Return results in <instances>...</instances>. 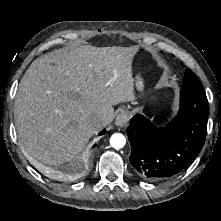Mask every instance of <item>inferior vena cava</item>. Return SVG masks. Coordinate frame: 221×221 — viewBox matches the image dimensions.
Wrapping results in <instances>:
<instances>
[{"label":"inferior vena cava","mask_w":221,"mask_h":221,"mask_svg":"<svg viewBox=\"0 0 221 221\" xmlns=\"http://www.w3.org/2000/svg\"><path fill=\"white\" fill-rule=\"evenodd\" d=\"M103 122H104V119L102 116L95 115V116L91 117L89 124L92 129L99 130L102 128Z\"/></svg>","instance_id":"1"}]
</instances>
